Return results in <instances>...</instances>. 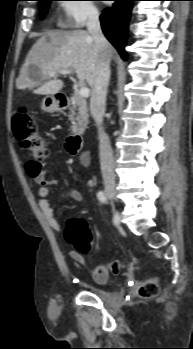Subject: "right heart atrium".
Instances as JSON below:
<instances>
[{
    "label": "right heart atrium",
    "instance_id": "obj_1",
    "mask_svg": "<svg viewBox=\"0 0 193 349\" xmlns=\"http://www.w3.org/2000/svg\"><path fill=\"white\" fill-rule=\"evenodd\" d=\"M61 11L65 25L72 28H81L99 16V10L91 0H63Z\"/></svg>",
    "mask_w": 193,
    "mask_h": 349
}]
</instances>
